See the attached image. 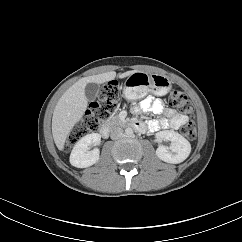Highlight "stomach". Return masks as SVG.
Returning <instances> with one entry per match:
<instances>
[{"mask_svg": "<svg viewBox=\"0 0 242 242\" xmlns=\"http://www.w3.org/2000/svg\"><path fill=\"white\" fill-rule=\"evenodd\" d=\"M172 88V81L165 75L136 71L125 81L124 95L129 100L145 97L149 92L157 96L166 95Z\"/></svg>", "mask_w": 242, "mask_h": 242, "instance_id": "1", "label": "stomach"}]
</instances>
